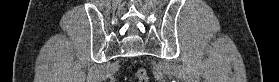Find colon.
Instances as JSON below:
<instances>
[{
  "mask_svg": "<svg viewBox=\"0 0 279 82\" xmlns=\"http://www.w3.org/2000/svg\"><path fill=\"white\" fill-rule=\"evenodd\" d=\"M135 78H136L137 82H148L149 81L148 74H147L146 70H144V69H139L135 74Z\"/></svg>",
  "mask_w": 279,
  "mask_h": 82,
  "instance_id": "colon-1",
  "label": "colon"
}]
</instances>
